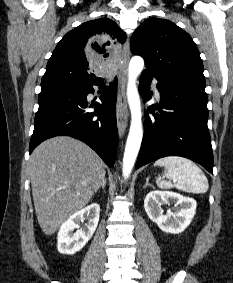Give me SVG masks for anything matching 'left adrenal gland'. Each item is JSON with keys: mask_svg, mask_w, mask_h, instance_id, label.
Returning a JSON list of instances; mask_svg holds the SVG:
<instances>
[{"mask_svg": "<svg viewBox=\"0 0 233 283\" xmlns=\"http://www.w3.org/2000/svg\"><path fill=\"white\" fill-rule=\"evenodd\" d=\"M147 186H152V185L149 183V179H148V178H146V183H145V185H144L143 188H146Z\"/></svg>", "mask_w": 233, "mask_h": 283, "instance_id": "left-adrenal-gland-1", "label": "left adrenal gland"}]
</instances>
